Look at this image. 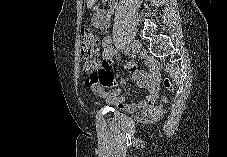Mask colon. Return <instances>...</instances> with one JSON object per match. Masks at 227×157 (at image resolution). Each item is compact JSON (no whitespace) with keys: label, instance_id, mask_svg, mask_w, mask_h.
<instances>
[{"label":"colon","instance_id":"5ec220e1","mask_svg":"<svg viewBox=\"0 0 227 157\" xmlns=\"http://www.w3.org/2000/svg\"><path fill=\"white\" fill-rule=\"evenodd\" d=\"M98 37L87 28L81 30V53L84 61L83 69L86 73L90 74L87 83L94 81L97 78V68L99 67V54H98ZM165 87L172 88L171 81L165 80Z\"/></svg>","mask_w":227,"mask_h":157}]
</instances>
